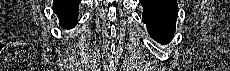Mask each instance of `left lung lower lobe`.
Returning <instances> with one entry per match:
<instances>
[{
  "instance_id": "0a47b994",
  "label": "left lung lower lobe",
  "mask_w": 230,
  "mask_h": 71,
  "mask_svg": "<svg viewBox=\"0 0 230 71\" xmlns=\"http://www.w3.org/2000/svg\"><path fill=\"white\" fill-rule=\"evenodd\" d=\"M143 6L142 21L150 36L166 44L175 32L178 14L177 0H140Z\"/></svg>"
}]
</instances>
